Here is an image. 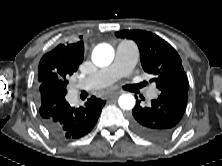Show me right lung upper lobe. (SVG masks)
<instances>
[{"label": "right lung upper lobe", "instance_id": "obj_1", "mask_svg": "<svg viewBox=\"0 0 222 166\" xmlns=\"http://www.w3.org/2000/svg\"><path fill=\"white\" fill-rule=\"evenodd\" d=\"M81 38V37H80ZM84 46L82 41L59 44L55 49L46 53L40 62H70L80 65L83 60Z\"/></svg>", "mask_w": 222, "mask_h": 166}]
</instances>
